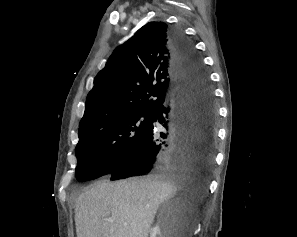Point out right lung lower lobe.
I'll return each instance as SVG.
<instances>
[{
    "instance_id": "1",
    "label": "right lung lower lobe",
    "mask_w": 297,
    "mask_h": 237,
    "mask_svg": "<svg viewBox=\"0 0 297 237\" xmlns=\"http://www.w3.org/2000/svg\"><path fill=\"white\" fill-rule=\"evenodd\" d=\"M172 71L178 85L172 98L154 111L142 141L119 159L110 180L151 173H203L213 165L216 108L203 63L193 44L171 29Z\"/></svg>"
}]
</instances>
